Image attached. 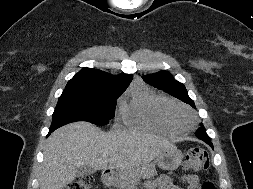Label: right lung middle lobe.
<instances>
[{"label": "right lung middle lobe", "instance_id": "1", "mask_svg": "<svg viewBox=\"0 0 253 189\" xmlns=\"http://www.w3.org/2000/svg\"><path fill=\"white\" fill-rule=\"evenodd\" d=\"M124 90H64L52 115L50 128L75 121L105 125L114 117L116 99Z\"/></svg>", "mask_w": 253, "mask_h": 189}]
</instances>
